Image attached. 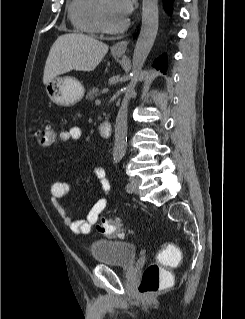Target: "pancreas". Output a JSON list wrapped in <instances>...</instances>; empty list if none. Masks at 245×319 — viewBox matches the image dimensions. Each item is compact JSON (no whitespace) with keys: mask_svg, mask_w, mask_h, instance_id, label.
<instances>
[{"mask_svg":"<svg viewBox=\"0 0 245 319\" xmlns=\"http://www.w3.org/2000/svg\"><path fill=\"white\" fill-rule=\"evenodd\" d=\"M99 93V89L97 87H92L86 95V99L93 100Z\"/></svg>","mask_w":245,"mask_h":319,"instance_id":"obj_1","label":"pancreas"}]
</instances>
